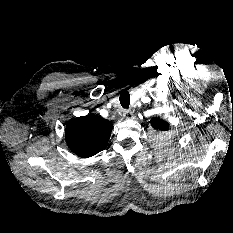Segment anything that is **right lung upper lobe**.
I'll return each mask as SVG.
<instances>
[{
	"mask_svg": "<svg viewBox=\"0 0 233 233\" xmlns=\"http://www.w3.org/2000/svg\"><path fill=\"white\" fill-rule=\"evenodd\" d=\"M112 127L110 121L93 114L77 117L66 126L67 145L76 155L91 157L105 149Z\"/></svg>",
	"mask_w": 233,
	"mask_h": 233,
	"instance_id": "cb5924a9",
	"label": "right lung upper lobe"
}]
</instances>
